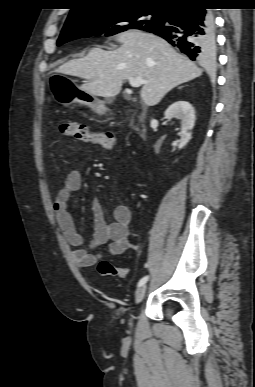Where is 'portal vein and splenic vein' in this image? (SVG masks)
<instances>
[{"label":"portal vein and splenic vein","instance_id":"18ae733b","mask_svg":"<svg viewBox=\"0 0 255 387\" xmlns=\"http://www.w3.org/2000/svg\"><path fill=\"white\" fill-rule=\"evenodd\" d=\"M128 80L130 85L134 88L140 87L145 83V81L141 77L129 78Z\"/></svg>","mask_w":255,"mask_h":387}]
</instances>
